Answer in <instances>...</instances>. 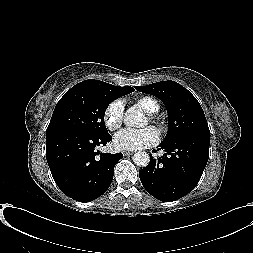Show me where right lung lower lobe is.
Here are the masks:
<instances>
[{
    "mask_svg": "<svg viewBox=\"0 0 253 253\" xmlns=\"http://www.w3.org/2000/svg\"><path fill=\"white\" fill-rule=\"evenodd\" d=\"M112 140L109 133L92 135L64 131L46 136V158L60 190L74 200L89 202L109 188L121 153H100Z\"/></svg>",
    "mask_w": 253,
    "mask_h": 253,
    "instance_id": "right-lung-lower-lobe-1",
    "label": "right lung lower lobe"
}]
</instances>
